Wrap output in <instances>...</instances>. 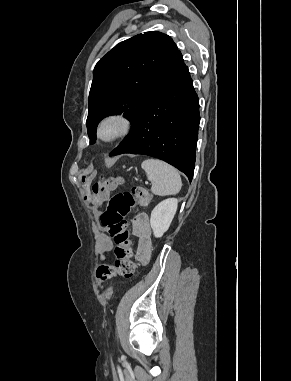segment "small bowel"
Listing matches in <instances>:
<instances>
[{
  "label": "small bowel",
  "instance_id": "small-bowel-1",
  "mask_svg": "<svg viewBox=\"0 0 291 381\" xmlns=\"http://www.w3.org/2000/svg\"><path fill=\"white\" fill-rule=\"evenodd\" d=\"M134 234L138 238V259L146 262L151 253V228L146 213H140L133 220ZM112 241L109 237L103 235L100 239V252L103 257L107 256L112 250Z\"/></svg>",
  "mask_w": 291,
  "mask_h": 381
}]
</instances>
